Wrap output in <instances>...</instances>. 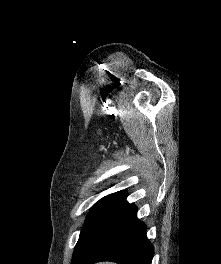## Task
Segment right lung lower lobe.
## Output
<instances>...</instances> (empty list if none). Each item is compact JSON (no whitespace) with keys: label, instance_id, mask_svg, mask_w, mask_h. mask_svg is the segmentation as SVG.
<instances>
[{"label":"right lung lower lobe","instance_id":"1","mask_svg":"<svg viewBox=\"0 0 221 264\" xmlns=\"http://www.w3.org/2000/svg\"><path fill=\"white\" fill-rule=\"evenodd\" d=\"M127 194L116 202L71 264L114 261L119 264H151L153 246L146 237L145 225L137 218L135 205Z\"/></svg>","mask_w":221,"mask_h":264}]
</instances>
